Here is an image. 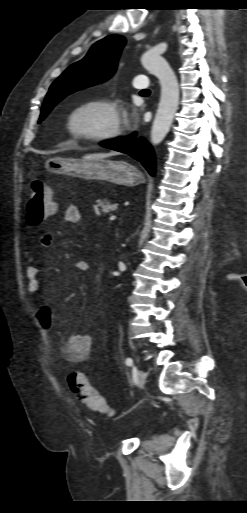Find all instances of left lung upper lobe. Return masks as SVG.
I'll return each instance as SVG.
<instances>
[{
    "label": "left lung upper lobe",
    "instance_id": "left-lung-upper-lobe-1",
    "mask_svg": "<svg viewBox=\"0 0 247 513\" xmlns=\"http://www.w3.org/2000/svg\"><path fill=\"white\" fill-rule=\"evenodd\" d=\"M126 39L121 35H109L96 42L87 55L69 66L56 79L47 93L39 122L68 94L106 81L116 71L117 61Z\"/></svg>",
    "mask_w": 247,
    "mask_h": 513
}]
</instances>
